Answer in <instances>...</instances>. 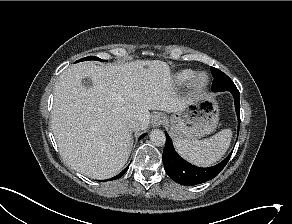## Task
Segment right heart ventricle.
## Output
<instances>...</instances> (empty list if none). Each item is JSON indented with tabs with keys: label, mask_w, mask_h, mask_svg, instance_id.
<instances>
[{
	"label": "right heart ventricle",
	"mask_w": 292,
	"mask_h": 224,
	"mask_svg": "<svg viewBox=\"0 0 292 224\" xmlns=\"http://www.w3.org/2000/svg\"><path fill=\"white\" fill-rule=\"evenodd\" d=\"M195 76V72L193 70L185 69L179 71L175 77L174 81L178 85H183L192 80Z\"/></svg>",
	"instance_id": "right-heart-ventricle-1"
}]
</instances>
